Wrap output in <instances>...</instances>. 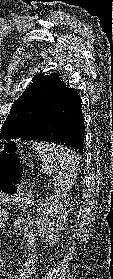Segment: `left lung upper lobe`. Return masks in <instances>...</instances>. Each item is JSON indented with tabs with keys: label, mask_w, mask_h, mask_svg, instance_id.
I'll use <instances>...</instances> for the list:
<instances>
[{
	"label": "left lung upper lobe",
	"mask_w": 113,
	"mask_h": 279,
	"mask_svg": "<svg viewBox=\"0 0 113 279\" xmlns=\"http://www.w3.org/2000/svg\"><path fill=\"white\" fill-rule=\"evenodd\" d=\"M60 80L58 73L37 74L33 83L14 102L10 115L0 128V139L18 138L25 124L32 118L40 99H45Z\"/></svg>",
	"instance_id": "5c2ea615"
}]
</instances>
